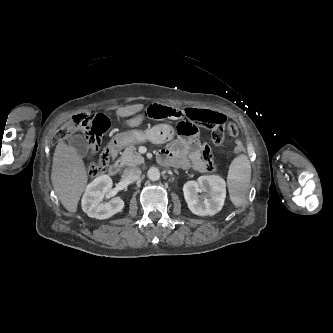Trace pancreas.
Listing matches in <instances>:
<instances>
[{"label":"pancreas","mask_w":333,"mask_h":333,"mask_svg":"<svg viewBox=\"0 0 333 333\" xmlns=\"http://www.w3.org/2000/svg\"><path fill=\"white\" fill-rule=\"evenodd\" d=\"M119 162L125 166H136L144 163V157L137 152V148L134 145H130L125 148Z\"/></svg>","instance_id":"cf45deb5"}]
</instances>
